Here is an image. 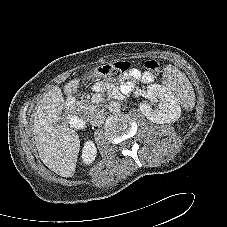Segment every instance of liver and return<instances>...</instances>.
<instances>
[{
    "mask_svg": "<svg viewBox=\"0 0 227 227\" xmlns=\"http://www.w3.org/2000/svg\"><path fill=\"white\" fill-rule=\"evenodd\" d=\"M80 80L74 79L64 86V93L71 96L78 90ZM65 101L62 90L54 86L40 100L33 115V134L41 161L62 177H72L80 149L79 136L75 130L55 126L61 118Z\"/></svg>",
    "mask_w": 227,
    "mask_h": 227,
    "instance_id": "1",
    "label": "liver"
}]
</instances>
